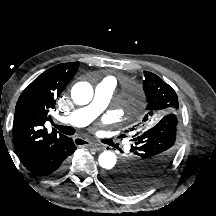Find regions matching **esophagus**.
I'll list each match as a JSON object with an SVG mask.
<instances>
[{
    "label": "esophagus",
    "mask_w": 216,
    "mask_h": 216,
    "mask_svg": "<svg viewBox=\"0 0 216 216\" xmlns=\"http://www.w3.org/2000/svg\"><path fill=\"white\" fill-rule=\"evenodd\" d=\"M73 141L78 146H95L98 150L104 149L103 146H101V145H99L97 143L91 142L89 140L82 139L80 137L73 138Z\"/></svg>",
    "instance_id": "esophagus-1"
}]
</instances>
